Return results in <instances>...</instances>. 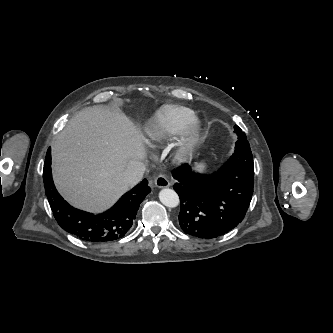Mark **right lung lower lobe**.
<instances>
[{
  "instance_id": "98d812e1",
  "label": "right lung lower lobe",
  "mask_w": 333,
  "mask_h": 333,
  "mask_svg": "<svg viewBox=\"0 0 333 333\" xmlns=\"http://www.w3.org/2000/svg\"><path fill=\"white\" fill-rule=\"evenodd\" d=\"M43 180L45 193L58 224L73 236L89 242H108L130 231L140 203L151 189L144 179L124 194L108 211L92 214L70 206L57 192L51 174V149L46 154Z\"/></svg>"
}]
</instances>
